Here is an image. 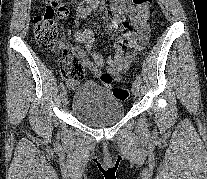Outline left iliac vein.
Returning <instances> with one entry per match:
<instances>
[{"instance_id": "obj_1", "label": "left iliac vein", "mask_w": 207, "mask_h": 179, "mask_svg": "<svg viewBox=\"0 0 207 179\" xmlns=\"http://www.w3.org/2000/svg\"><path fill=\"white\" fill-rule=\"evenodd\" d=\"M132 92L135 96H139L140 94V83L136 80L133 82Z\"/></svg>"}]
</instances>
